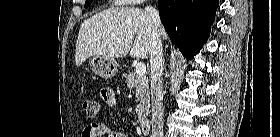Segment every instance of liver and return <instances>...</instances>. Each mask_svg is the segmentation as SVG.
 I'll use <instances>...</instances> for the list:
<instances>
[{"label":"liver","mask_w":280,"mask_h":137,"mask_svg":"<svg viewBox=\"0 0 280 137\" xmlns=\"http://www.w3.org/2000/svg\"><path fill=\"white\" fill-rule=\"evenodd\" d=\"M161 27V38L167 39ZM152 20L145 10L116 7L101 11L86 19L80 27L76 43L75 62L80 66L90 56L146 59L151 52Z\"/></svg>","instance_id":"obj_1"}]
</instances>
